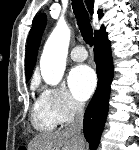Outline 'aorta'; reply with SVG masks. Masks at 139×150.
Segmentation results:
<instances>
[{
    "instance_id": "obj_1",
    "label": "aorta",
    "mask_w": 139,
    "mask_h": 150,
    "mask_svg": "<svg viewBox=\"0 0 139 150\" xmlns=\"http://www.w3.org/2000/svg\"><path fill=\"white\" fill-rule=\"evenodd\" d=\"M70 29L59 21L48 38L40 60L41 75L50 85H56L64 75L70 42Z\"/></svg>"
}]
</instances>
